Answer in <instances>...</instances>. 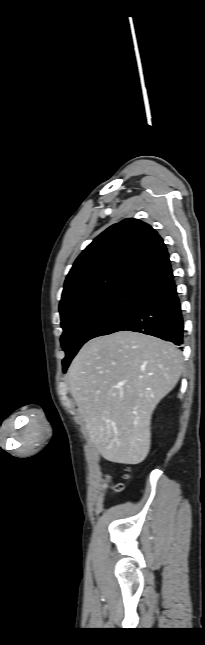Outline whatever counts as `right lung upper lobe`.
<instances>
[{
    "label": "right lung upper lobe",
    "mask_w": 205,
    "mask_h": 645,
    "mask_svg": "<svg viewBox=\"0 0 205 645\" xmlns=\"http://www.w3.org/2000/svg\"><path fill=\"white\" fill-rule=\"evenodd\" d=\"M170 269L169 254L158 233L140 220L125 219L102 232L76 259L59 309L124 284L145 286Z\"/></svg>",
    "instance_id": "right-lung-upper-lobe-1"
}]
</instances>
